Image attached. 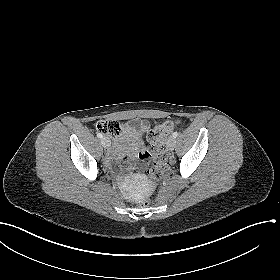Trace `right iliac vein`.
<instances>
[{
    "label": "right iliac vein",
    "mask_w": 280,
    "mask_h": 280,
    "mask_svg": "<svg viewBox=\"0 0 280 280\" xmlns=\"http://www.w3.org/2000/svg\"><path fill=\"white\" fill-rule=\"evenodd\" d=\"M101 142H102V145H103V147L105 148V149H109L110 148V140H109V138L108 137H103L102 138V140H101Z\"/></svg>",
    "instance_id": "obj_1"
}]
</instances>
